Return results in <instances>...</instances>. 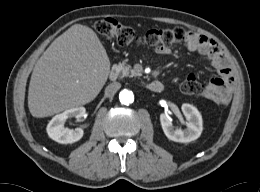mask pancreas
I'll return each instance as SVG.
<instances>
[{
    "label": "pancreas",
    "mask_w": 260,
    "mask_h": 192,
    "mask_svg": "<svg viewBox=\"0 0 260 192\" xmlns=\"http://www.w3.org/2000/svg\"><path fill=\"white\" fill-rule=\"evenodd\" d=\"M118 68L121 70L122 77H125V76L132 77V76L138 75L133 69H131V66L126 65L125 62L119 63Z\"/></svg>",
    "instance_id": "obj_1"
}]
</instances>
